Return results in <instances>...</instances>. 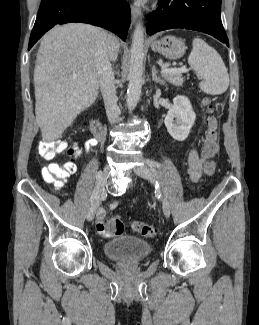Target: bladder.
<instances>
[{"mask_svg": "<svg viewBox=\"0 0 259 325\" xmlns=\"http://www.w3.org/2000/svg\"><path fill=\"white\" fill-rule=\"evenodd\" d=\"M152 251L151 245L134 236H122L104 245L105 255L114 261H140Z\"/></svg>", "mask_w": 259, "mask_h": 325, "instance_id": "obj_1", "label": "bladder"}]
</instances>
